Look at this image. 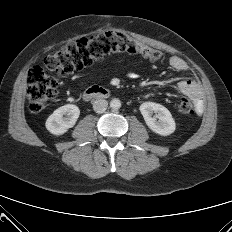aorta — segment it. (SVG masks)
<instances>
[{
    "label": "aorta",
    "mask_w": 232,
    "mask_h": 232,
    "mask_svg": "<svg viewBox=\"0 0 232 232\" xmlns=\"http://www.w3.org/2000/svg\"><path fill=\"white\" fill-rule=\"evenodd\" d=\"M110 107H111L113 110H118V109L121 107V101H120L118 98H113V99L110 101Z\"/></svg>",
    "instance_id": "aorta-1"
}]
</instances>
